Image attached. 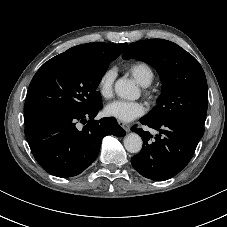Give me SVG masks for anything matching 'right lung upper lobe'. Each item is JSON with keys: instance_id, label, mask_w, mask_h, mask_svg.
<instances>
[{"instance_id": "obj_1", "label": "right lung upper lobe", "mask_w": 227, "mask_h": 227, "mask_svg": "<svg viewBox=\"0 0 227 227\" xmlns=\"http://www.w3.org/2000/svg\"><path fill=\"white\" fill-rule=\"evenodd\" d=\"M127 46V43L107 44V43H87L68 49L63 55H75L87 59L100 60L108 56L111 52L116 51L119 55ZM32 118H25V123Z\"/></svg>"}]
</instances>
